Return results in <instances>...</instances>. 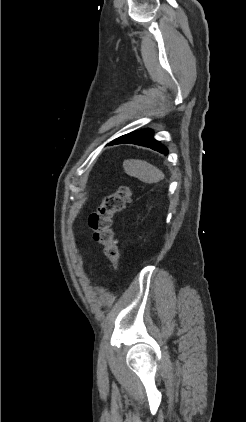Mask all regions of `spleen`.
<instances>
[{"label":"spleen","mask_w":246,"mask_h":422,"mask_svg":"<svg viewBox=\"0 0 246 422\" xmlns=\"http://www.w3.org/2000/svg\"><path fill=\"white\" fill-rule=\"evenodd\" d=\"M123 168L127 175L135 177L147 184L157 183L165 177L160 169L144 160H125L123 162Z\"/></svg>","instance_id":"spleen-1"}]
</instances>
